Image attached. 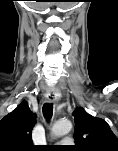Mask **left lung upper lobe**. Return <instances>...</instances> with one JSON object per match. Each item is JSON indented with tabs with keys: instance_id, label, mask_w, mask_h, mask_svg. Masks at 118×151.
Instances as JSON below:
<instances>
[{
	"instance_id": "obj_1",
	"label": "left lung upper lobe",
	"mask_w": 118,
	"mask_h": 151,
	"mask_svg": "<svg viewBox=\"0 0 118 151\" xmlns=\"http://www.w3.org/2000/svg\"><path fill=\"white\" fill-rule=\"evenodd\" d=\"M73 115L77 150L118 151V139L105 120L91 116L81 107Z\"/></svg>"
}]
</instances>
